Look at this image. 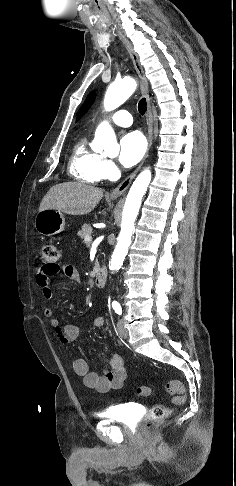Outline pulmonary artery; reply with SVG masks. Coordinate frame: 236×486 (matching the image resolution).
I'll list each match as a JSON object with an SVG mask.
<instances>
[{
  "mask_svg": "<svg viewBox=\"0 0 236 486\" xmlns=\"http://www.w3.org/2000/svg\"><path fill=\"white\" fill-rule=\"evenodd\" d=\"M110 120L118 126L129 127L133 123L131 114L126 110H119L110 116Z\"/></svg>",
  "mask_w": 236,
  "mask_h": 486,
  "instance_id": "pulmonary-artery-1",
  "label": "pulmonary artery"
}]
</instances>
